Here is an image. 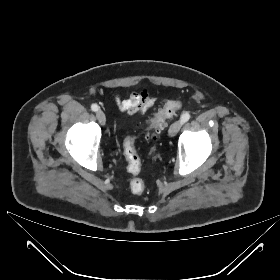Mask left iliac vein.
Here are the masks:
<instances>
[{"label": "left iliac vein", "mask_w": 280, "mask_h": 280, "mask_svg": "<svg viewBox=\"0 0 280 280\" xmlns=\"http://www.w3.org/2000/svg\"><path fill=\"white\" fill-rule=\"evenodd\" d=\"M181 125H182L181 121H175L173 124H171L168 130V135L171 137L175 136L180 130Z\"/></svg>", "instance_id": "4c4485c4"}]
</instances>
